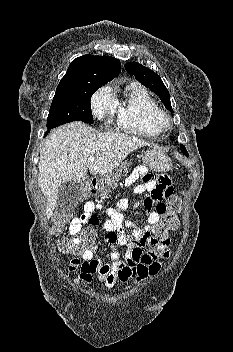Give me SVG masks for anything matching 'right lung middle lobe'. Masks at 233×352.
<instances>
[{
    "instance_id": "1",
    "label": "right lung middle lobe",
    "mask_w": 233,
    "mask_h": 352,
    "mask_svg": "<svg viewBox=\"0 0 233 352\" xmlns=\"http://www.w3.org/2000/svg\"><path fill=\"white\" fill-rule=\"evenodd\" d=\"M100 86L88 85L72 92L55 93L48 119L47 128L51 129L76 120L93 123L91 96Z\"/></svg>"
}]
</instances>
